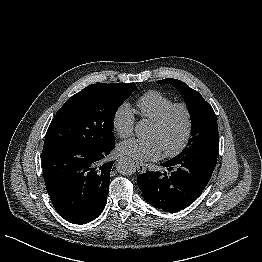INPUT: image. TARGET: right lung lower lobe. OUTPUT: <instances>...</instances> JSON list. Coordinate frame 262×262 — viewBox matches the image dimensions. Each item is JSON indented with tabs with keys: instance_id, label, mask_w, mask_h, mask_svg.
<instances>
[{
	"instance_id": "obj_1",
	"label": "right lung lower lobe",
	"mask_w": 262,
	"mask_h": 262,
	"mask_svg": "<svg viewBox=\"0 0 262 262\" xmlns=\"http://www.w3.org/2000/svg\"><path fill=\"white\" fill-rule=\"evenodd\" d=\"M115 143L105 146L45 144L44 181L57 212L74 224L96 219L106 206L113 161L105 158Z\"/></svg>"
}]
</instances>
